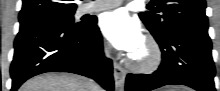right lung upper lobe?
Instances as JSON below:
<instances>
[{
	"mask_svg": "<svg viewBox=\"0 0 220 91\" xmlns=\"http://www.w3.org/2000/svg\"><path fill=\"white\" fill-rule=\"evenodd\" d=\"M76 7L73 1L63 0H23L19 21L44 17L53 12L69 10Z\"/></svg>",
	"mask_w": 220,
	"mask_h": 91,
	"instance_id": "cb5924a9",
	"label": "right lung upper lobe"
}]
</instances>
